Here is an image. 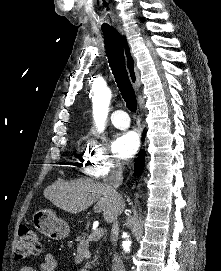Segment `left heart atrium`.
Segmentation results:
<instances>
[{
  "label": "left heart atrium",
  "mask_w": 221,
  "mask_h": 271,
  "mask_svg": "<svg viewBox=\"0 0 221 271\" xmlns=\"http://www.w3.org/2000/svg\"><path fill=\"white\" fill-rule=\"evenodd\" d=\"M175 87V86H173ZM177 94V92H170ZM139 143V134L136 131H128L118 136L117 142L112 146L116 157H129L135 153Z\"/></svg>",
  "instance_id": "39dd6f15"
}]
</instances>
